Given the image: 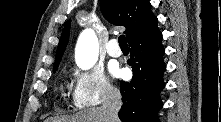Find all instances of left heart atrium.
Here are the masks:
<instances>
[{"label":"left heart atrium","mask_w":221,"mask_h":122,"mask_svg":"<svg viewBox=\"0 0 221 122\" xmlns=\"http://www.w3.org/2000/svg\"><path fill=\"white\" fill-rule=\"evenodd\" d=\"M110 71H111L112 75L115 76V77L120 76L121 73H122V71L119 68H117V67H112L110 69Z\"/></svg>","instance_id":"39dd6f15"}]
</instances>
